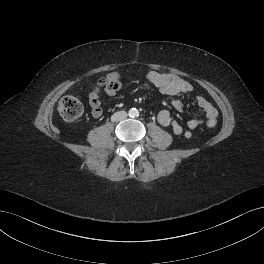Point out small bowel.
Listing matches in <instances>:
<instances>
[{
  "label": "small bowel",
  "instance_id": "1",
  "mask_svg": "<svg viewBox=\"0 0 264 264\" xmlns=\"http://www.w3.org/2000/svg\"><path fill=\"white\" fill-rule=\"evenodd\" d=\"M146 79L149 84L158 88L162 94L171 97L173 106L180 111L184 109V103L179 97L194 91L193 86L189 82L174 74L152 71L148 73ZM104 84V80L99 81V86H103ZM107 92L113 94V92ZM195 100L202 115L207 119L217 118L218 111L206 98L196 96ZM89 105L91 107V114L94 118H100L103 115L101 101L97 93L91 92L89 94ZM158 121L163 127L171 129L175 135H184L187 138L192 137L193 132L203 123L201 118H193L187 122L186 127H183L167 110L159 112Z\"/></svg>",
  "mask_w": 264,
  "mask_h": 264
}]
</instances>
